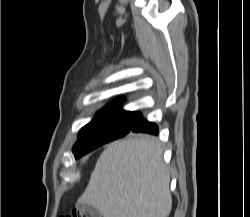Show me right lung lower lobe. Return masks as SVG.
<instances>
[{
  "instance_id": "98d812e1",
  "label": "right lung lower lobe",
  "mask_w": 250,
  "mask_h": 217,
  "mask_svg": "<svg viewBox=\"0 0 250 217\" xmlns=\"http://www.w3.org/2000/svg\"><path fill=\"white\" fill-rule=\"evenodd\" d=\"M132 132L135 133L141 132V133L157 135L158 127L156 124L144 120L140 114L137 121L135 122L134 126L131 129V133Z\"/></svg>"
}]
</instances>
